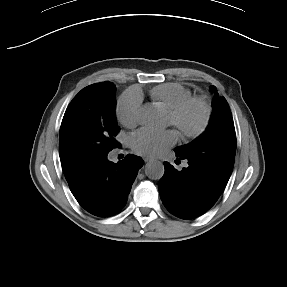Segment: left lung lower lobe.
<instances>
[{"label":"left lung lower lobe","mask_w":287,"mask_h":287,"mask_svg":"<svg viewBox=\"0 0 287 287\" xmlns=\"http://www.w3.org/2000/svg\"><path fill=\"white\" fill-rule=\"evenodd\" d=\"M178 160L186 159L188 167L177 171L164 162L165 173L158 182L161 200L167 210L182 219L196 218L217 201L225 184L213 179L210 170L192 159L176 153Z\"/></svg>","instance_id":"left-lung-lower-lobe-1"}]
</instances>
